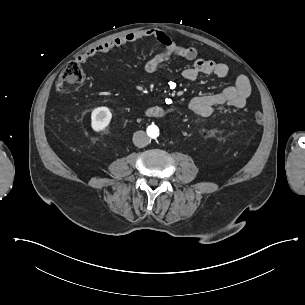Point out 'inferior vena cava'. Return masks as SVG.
<instances>
[{
  "label": "inferior vena cava",
  "mask_w": 305,
  "mask_h": 305,
  "mask_svg": "<svg viewBox=\"0 0 305 305\" xmlns=\"http://www.w3.org/2000/svg\"><path fill=\"white\" fill-rule=\"evenodd\" d=\"M133 143L139 148L145 147L149 144V137L142 130L136 131L133 135Z\"/></svg>",
  "instance_id": "obj_1"
}]
</instances>
